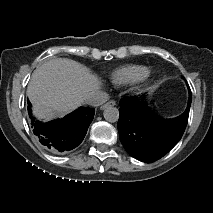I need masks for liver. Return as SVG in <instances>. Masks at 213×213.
Listing matches in <instances>:
<instances>
[{
    "mask_svg": "<svg viewBox=\"0 0 213 213\" xmlns=\"http://www.w3.org/2000/svg\"><path fill=\"white\" fill-rule=\"evenodd\" d=\"M100 87L98 78L80 63L56 58L34 70L27 96L35 116L49 121L77 109Z\"/></svg>",
    "mask_w": 213,
    "mask_h": 213,
    "instance_id": "liver-1",
    "label": "liver"
}]
</instances>
